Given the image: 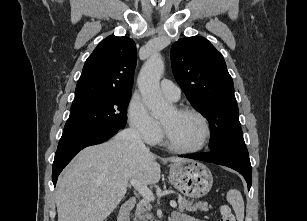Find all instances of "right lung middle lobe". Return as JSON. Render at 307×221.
I'll use <instances>...</instances> for the list:
<instances>
[{
  "label": "right lung middle lobe",
  "instance_id": "1",
  "mask_svg": "<svg viewBox=\"0 0 307 221\" xmlns=\"http://www.w3.org/2000/svg\"><path fill=\"white\" fill-rule=\"evenodd\" d=\"M130 98L131 93H111L73 102L58 147L124 128Z\"/></svg>",
  "mask_w": 307,
  "mask_h": 221
}]
</instances>
